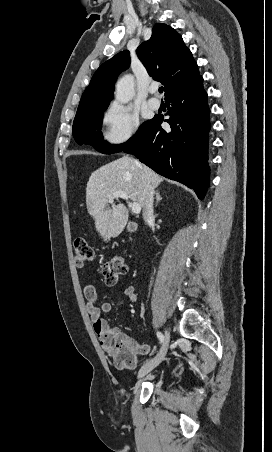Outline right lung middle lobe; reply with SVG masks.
Segmentation results:
<instances>
[{
    "label": "right lung middle lobe",
    "instance_id": "obj_1",
    "mask_svg": "<svg viewBox=\"0 0 272 452\" xmlns=\"http://www.w3.org/2000/svg\"><path fill=\"white\" fill-rule=\"evenodd\" d=\"M107 107H96L77 113L73 123L72 134L75 141L79 144L92 145L97 151L104 154H113L121 152L128 148L148 126L150 120L146 121L137 133L126 143L120 145H111L103 140L101 129L103 111Z\"/></svg>",
    "mask_w": 272,
    "mask_h": 452
}]
</instances>
